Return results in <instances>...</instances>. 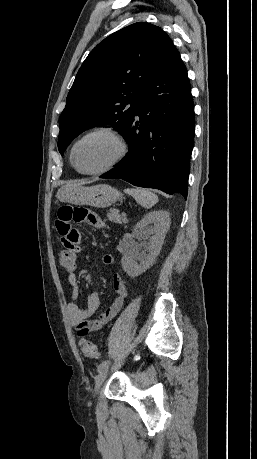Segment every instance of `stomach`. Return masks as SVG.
Segmentation results:
<instances>
[{
  "instance_id": "obj_1",
  "label": "stomach",
  "mask_w": 257,
  "mask_h": 459,
  "mask_svg": "<svg viewBox=\"0 0 257 459\" xmlns=\"http://www.w3.org/2000/svg\"><path fill=\"white\" fill-rule=\"evenodd\" d=\"M57 197L61 202L104 208L121 199L122 194L117 189L107 184H99L90 187L77 185L61 188Z\"/></svg>"
}]
</instances>
